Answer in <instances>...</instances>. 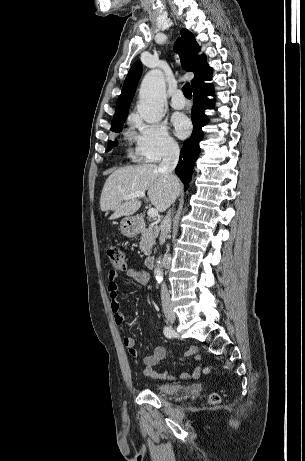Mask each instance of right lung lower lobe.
<instances>
[{
  "label": "right lung lower lobe",
  "mask_w": 305,
  "mask_h": 461,
  "mask_svg": "<svg viewBox=\"0 0 305 461\" xmlns=\"http://www.w3.org/2000/svg\"><path fill=\"white\" fill-rule=\"evenodd\" d=\"M210 79L211 76L205 80ZM203 81L192 88L193 107L191 119L193 122V132L192 136L184 142L180 152V160L175 169L177 176L184 183L185 190L190 182L195 160L199 155L200 148L198 144L203 137L202 127L207 123L204 110L214 106V101L207 98L208 95H213V86Z\"/></svg>",
  "instance_id": "right-lung-lower-lobe-1"
}]
</instances>
